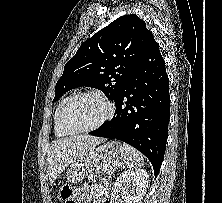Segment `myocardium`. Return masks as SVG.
<instances>
[{
    "mask_svg": "<svg viewBox=\"0 0 222 203\" xmlns=\"http://www.w3.org/2000/svg\"><path fill=\"white\" fill-rule=\"evenodd\" d=\"M83 96H89V97H94V98L99 99L105 105L106 113L102 117V119L100 121H98L96 124L89 126V127L77 128V127H74L68 123V121L66 119V114H67V110H68L69 106L71 105V103L75 99H77L79 97H83ZM113 114H114V105L103 94H101L99 92H94V91L78 92V93L71 95L64 103V105L61 109V112H60V124L65 130H67L71 133H86V132L94 131V130L100 128L101 126H103L108 120H110L112 118Z\"/></svg>",
    "mask_w": 222,
    "mask_h": 203,
    "instance_id": "obj_1",
    "label": "myocardium"
}]
</instances>
